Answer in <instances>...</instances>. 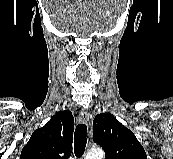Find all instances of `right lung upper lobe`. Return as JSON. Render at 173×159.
Masks as SVG:
<instances>
[{"label": "right lung upper lobe", "instance_id": "obj_1", "mask_svg": "<svg viewBox=\"0 0 173 159\" xmlns=\"http://www.w3.org/2000/svg\"><path fill=\"white\" fill-rule=\"evenodd\" d=\"M74 118L69 110L56 113L31 135L20 159H67L71 155Z\"/></svg>", "mask_w": 173, "mask_h": 159}]
</instances>
